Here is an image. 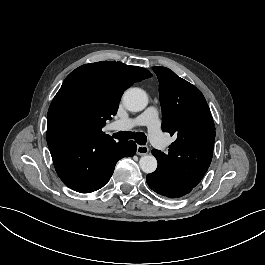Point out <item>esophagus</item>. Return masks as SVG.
<instances>
[{"label": "esophagus", "mask_w": 265, "mask_h": 265, "mask_svg": "<svg viewBox=\"0 0 265 265\" xmlns=\"http://www.w3.org/2000/svg\"><path fill=\"white\" fill-rule=\"evenodd\" d=\"M149 152V148L146 145H137L136 154L137 155H145Z\"/></svg>", "instance_id": "obj_1"}]
</instances>
